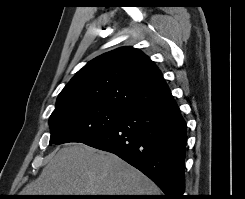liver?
<instances>
[{
  "label": "liver",
  "instance_id": "obj_1",
  "mask_svg": "<svg viewBox=\"0 0 245 199\" xmlns=\"http://www.w3.org/2000/svg\"><path fill=\"white\" fill-rule=\"evenodd\" d=\"M20 195H158V187L118 156L83 143L61 148Z\"/></svg>",
  "mask_w": 245,
  "mask_h": 199
}]
</instances>
